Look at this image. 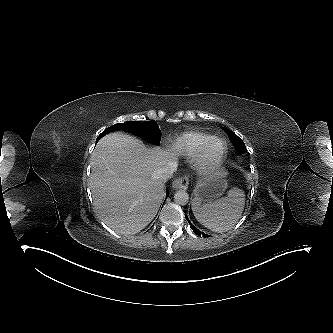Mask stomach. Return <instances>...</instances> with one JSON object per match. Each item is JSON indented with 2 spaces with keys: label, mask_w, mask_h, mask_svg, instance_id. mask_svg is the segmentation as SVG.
Listing matches in <instances>:
<instances>
[{
  "label": "stomach",
  "mask_w": 333,
  "mask_h": 333,
  "mask_svg": "<svg viewBox=\"0 0 333 333\" xmlns=\"http://www.w3.org/2000/svg\"><path fill=\"white\" fill-rule=\"evenodd\" d=\"M224 177V174L220 172L203 177L194 189L195 200L206 203L218 199L227 188Z\"/></svg>",
  "instance_id": "obj_1"
}]
</instances>
